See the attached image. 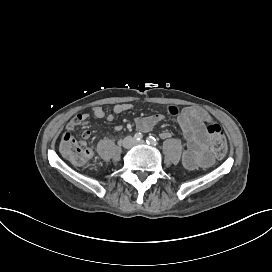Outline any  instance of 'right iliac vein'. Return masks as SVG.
Wrapping results in <instances>:
<instances>
[{
    "instance_id": "obj_1",
    "label": "right iliac vein",
    "mask_w": 272,
    "mask_h": 272,
    "mask_svg": "<svg viewBox=\"0 0 272 272\" xmlns=\"http://www.w3.org/2000/svg\"><path fill=\"white\" fill-rule=\"evenodd\" d=\"M134 144V141L132 138L130 137H126L124 140H123V143H122V146L126 149H129L133 146Z\"/></svg>"
}]
</instances>
